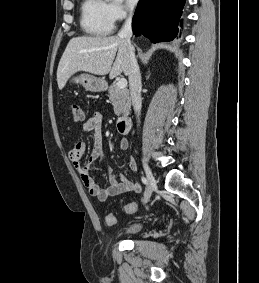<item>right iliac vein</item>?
Listing matches in <instances>:
<instances>
[{
  "instance_id": "obj_1",
  "label": "right iliac vein",
  "mask_w": 259,
  "mask_h": 283,
  "mask_svg": "<svg viewBox=\"0 0 259 283\" xmlns=\"http://www.w3.org/2000/svg\"><path fill=\"white\" fill-rule=\"evenodd\" d=\"M143 166H144V169H145V172H146V177H147V180H148V186H147V189H146V192H145L143 203H147L149 201L151 195H152L154 188L156 187V181H155V178H154V176L151 172L150 167L144 161H143Z\"/></svg>"
}]
</instances>
